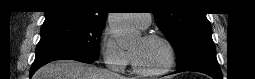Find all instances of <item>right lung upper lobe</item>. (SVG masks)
Here are the masks:
<instances>
[{
  "label": "right lung upper lobe",
  "mask_w": 255,
  "mask_h": 79,
  "mask_svg": "<svg viewBox=\"0 0 255 79\" xmlns=\"http://www.w3.org/2000/svg\"><path fill=\"white\" fill-rule=\"evenodd\" d=\"M99 0H54L45 12V21H73L94 25H105L107 11Z\"/></svg>",
  "instance_id": "right-lung-upper-lobe-1"
}]
</instances>
